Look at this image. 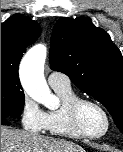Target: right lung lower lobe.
<instances>
[{"instance_id":"right-lung-lower-lobe-1","label":"right lung lower lobe","mask_w":123,"mask_h":152,"mask_svg":"<svg viewBox=\"0 0 123 152\" xmlns=\"http://www.w3.org/2000/svg\"><path fill=\"white\" fill-rule=\"evenodd\" d=\"M1 125H10L8 120H1Z\"/></svg>"}]
</instances>
